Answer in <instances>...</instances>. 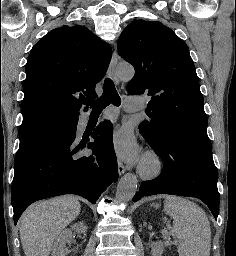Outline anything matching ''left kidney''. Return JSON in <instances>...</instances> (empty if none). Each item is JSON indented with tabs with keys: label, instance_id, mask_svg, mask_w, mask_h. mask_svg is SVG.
<instances>
[{
	"label": "left kidney",
	"instance_id": "left-kidney-1",
	"mask_svg": "<svg viewBox=\"0 0 236 256\" xmlns=\"http://www.w3.org/2000/svg\"><path fill=\"white\" fill-rule=\"evenodd\" d=\"M152 256H162L163 254V244L162 242H156L153 248H151Z\"/></svg>",
	"mask_w": 236,
	"mask_h": 256
}]
</instances>
